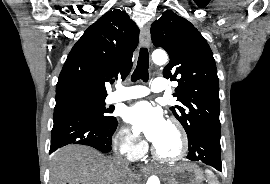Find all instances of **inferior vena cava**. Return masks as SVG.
I'll use <instances>...</instances> for the list:
<instances>
[{"label": "inferior vena cava", "instance_id": "inferior-vena-cava-1", "mask_svg": "<svg viewBox=\"0 0 270 184\" xmlns=\"http://www.w3.org/2000/svg\"><path fill=\"white\" fill-rule=\"evenodd\" d=\"M113 163H115L117 166H120L124 169H127L129 165L128 161L124 159L122 156H120L118 153L116 157L114 158Z\"/></svg>", "mask_w": 270, "mask_h": 184}]
</instances>
